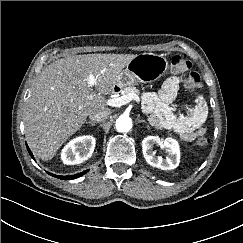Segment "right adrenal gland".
Segmentation results:
<instances>
[{
    "label": "right adrenal gland",
    "instance_id": "1",
    "mask_svg": "<svg viewBox=\"0 0 243 243\" xmlns=\"http://www.w3.org/2000/svg\"><path fill=\"white\" fill-rule=\"evenodd\" d=\"M86 124H90V125H92V126H95V125H96V123L93 122V121H88V122H86Z\"/></svg>",
    "mask_w": 243,
    "mask_h": 243
}]
</instances>
